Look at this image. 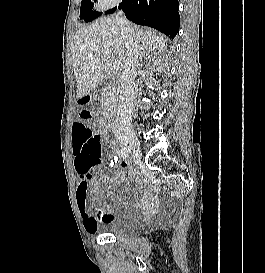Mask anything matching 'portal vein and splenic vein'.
Segmentation results:
<instances>
[{"label": "portal vein and splenic vein", "mask_w": 265, "mask_h": 273, "mask_svg": "<svg viewBox=\"0 0 265 273\" xmlns=\"http://www.w3.org/2000/svg\"><path fill=\"white\" fill-rule=\"evenodd\" d=\"M122 67H123V63L119 60H117L113 63V69L116 71L121 70Z\"/></svg>", "instance_id": "obj_1"}]
</instances>
